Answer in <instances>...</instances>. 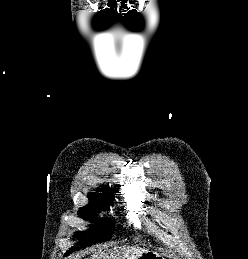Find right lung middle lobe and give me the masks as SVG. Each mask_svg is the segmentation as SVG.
Wrapping results in <instances>:
<instances>
[{
	"label": "right lung middle lobe",
	"instance_id": "obj_1",
	"mask_svg": "<svg viewBox=\"0 0 248 259\" xmlns=\"http://www.w3.org/2000/svg\"><path fill=\"white\" fill-rule=\"evenodd\" d=\"M112 201L113 198L111 197H100L94 200H90V203L86 207H83L79 210V216L86 220L96 221L98 219L94 218V215L100 210L109 208L110 204H112ZM113 229V222L105 219L104 222H99L97 226L91 227L88 230L90 233L89 236L84 237V234L79 232L75 235V237L79 238L81 242L69 249V251L66 253V256L68 253L79 250L83 246L110 240Z\"/></svg>",
	"mask_w": 248,
	"mask_h": 259
}]
</instances>
